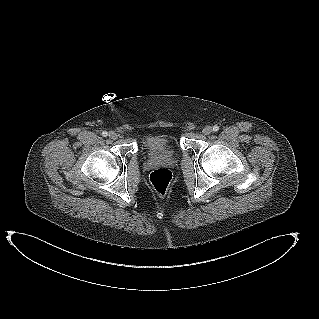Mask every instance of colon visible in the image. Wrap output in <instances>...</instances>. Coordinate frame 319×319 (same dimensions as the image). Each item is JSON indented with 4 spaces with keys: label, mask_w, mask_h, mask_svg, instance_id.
I'll return each mask as SVG.
<instances>
[{
    "label": "colon",
    "mask_w": 319,
    "mask_h": 319,
    "mask_svg": "<svg viewBox=\"0 0 319 319\" xmlns=\"http://www.w3.org/2000/svg\"><path fill=\"white\" fill-rule=\"evenodd\" d=\"M172 172L164 167L154 169L150 174V183L159 194H165L172 182Z\"/></svg>",
    "instance_id": "5ec220e1"
}]
</instances>
